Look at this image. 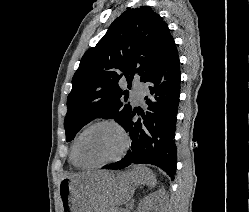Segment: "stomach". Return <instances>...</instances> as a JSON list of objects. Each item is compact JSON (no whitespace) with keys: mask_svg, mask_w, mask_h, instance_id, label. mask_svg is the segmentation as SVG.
<instances>
[{"mask_svg":"<svg viewBox=\"0 0 249 212\" xmlns=\"http://www.w3.org/2000/svg\"><path fill=\"white\" fill-rule=\"evenodd\" d=\"M127 170H85V175H71L59 184L63 212H106L114 205L126 204L136 185L130 184Z\"/></svg>","mask_w":249,"mask_h":212,"instance_id":"obj_1","label":"stomach"}]
</instances>
